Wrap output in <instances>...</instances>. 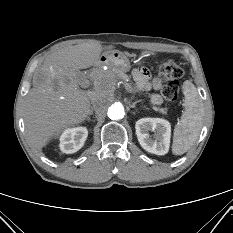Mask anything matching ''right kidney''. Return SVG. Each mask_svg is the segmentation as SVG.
<instances>
[{
    "instance_id": "ca27d5eb",
    "label": "right kidney",
    "mask_w": 233,
    "mask_h": 233,
    "mask_svg": "<svg viewBox=\"0 0 233 233\" xmlns=\"http://www.w3.org/2000/svg\"><path fill=\"white\" fill-rule=\"evenodd\" d=\"M87 136L88 130L85 127L66 129L60 136L59 147L63 153H75L83 147Z\"/></svg>"
}]
</instances>
